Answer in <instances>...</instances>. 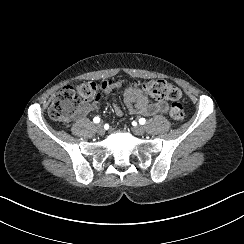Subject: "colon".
Segmentation results:
<instances>
[{"label": "colon", "instance_id": "colon-1", "mask_svg": "<svg viewBox=\"0 0 244 244\" xmlns=\"http://www.w3.org/2000/svg\"><path fill=\"white\" fill-rule=\"evenodd\" d=\"M139 88L145 94L156 99L178 101L182 96L178 87L163 80L139 83ZM99 89L100 86L93 81L66 86L56 95L48 109V114L57 122H66L81 103L96 102L99 98ZM169 116L175 122H182L185 118L183 106L177 103L172 104Z\"/></svg>", "mask_w": 244, "mask_h": 244}]
</instances>
